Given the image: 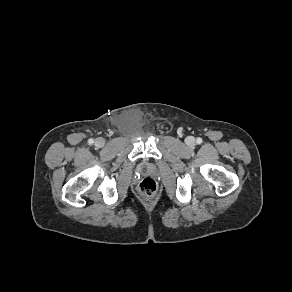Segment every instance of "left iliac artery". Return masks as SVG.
I'll use <instances>...</instances> for the list:
<instances>
[{
    "mask_svg": "<svg viewBox=\"0 0 292 292\" xmlns=\"http://www.w3.org/2000/svg\"><path fill=\"white\" fill-rule=\"evenodd\" d=\"M196 142H197L198 144H201V143H202V139H201V138H197V139H196Z\"/></svg>",
    "mask_w": 292,
    "mask_h": 292,
    "instance_id": "1",
    "label": "left iliac artery"
}]
</instances>
